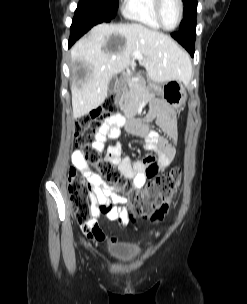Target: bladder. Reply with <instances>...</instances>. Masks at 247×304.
<instances>
[{
	"mask_svg": "<svg viewBox=\"0 0 247 304\" xmlns=\"http://www.w3.org/2000/svg\"><path fill=\"white\" fill-rule=\"evenodd\" d=\"M142 250L135 246L112 245L107 248L108 256L122 265L134 263L141 255Z\"/></svg>",
	"mask_w": 247,
	"mask_h": 304,
	"instance_id": "bladder-1",
	"label": "bladder"
}]
</instances>
